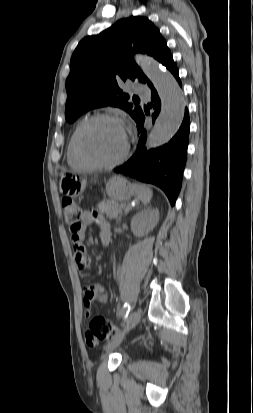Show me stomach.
Segmentation results:
<instances>
[{"instance_id": "stomach-1", "label": "stomach", "mask_w": 253, "mask_h": 413, "mask_svg": "<svg viewBox=\"0 0 253 413\" xmlns=\"http://www.w3.org/2000/svg\"><path fill=\"white\" fill-rule=\"evenodd\" d=\"M60 192L66 196L78 197L86 188V180L75 174L63 173ZM106 193L114 201L129 200L135 193L133 186L122 176H113L106 184Z\"/></svg>"}]
</instances>
